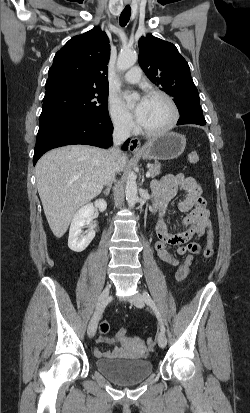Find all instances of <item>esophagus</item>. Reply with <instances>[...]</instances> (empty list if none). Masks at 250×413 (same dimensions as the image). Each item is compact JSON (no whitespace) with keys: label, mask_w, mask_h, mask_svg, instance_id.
<instances>
[{"label":"esophagus","mask_w":250,"mask_h":413,"mask_svg":"<svg viewBox=\"0 0 250 413\" xmlns=\"http://www.w3.org/2000/svg\"><path fill=\"white\" fill-rule=\"evenodd\" d=\"M129 151L132 153H139L142 151L141 142L137 138H132L129 143Z\"/></svg>","instance_id":"obj_1"}]
</instances>
